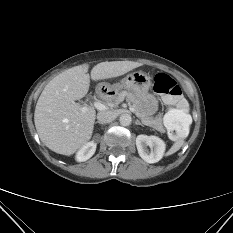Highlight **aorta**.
Listing matches in <instances>:
<instances>
[{
  "label": "aorta",
  "mask_w": 233,
  "mask_h": 233,
  "mask_svg": "<svg viewBox=\"0 0 233 233\" xmlns=\"http://www.w3.org/2000/svg\"><path fill=\"white\" fill-rule=\"evenodd\" d=\"M120 124L123 126H128L132 122V118L130 114H122L119 118Z\"/></svg>",
  "instance_id": "1"
}]
</instances>
